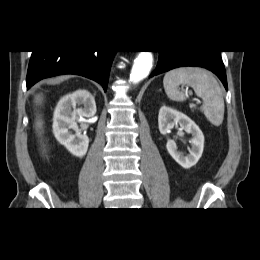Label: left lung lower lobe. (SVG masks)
Returning <instances> with one entry per match:
<instances>
[{
    "label": "left lung lower lobe",
    "instance_id": "obj_1",
    "mask_svg": "<svg viewBox=\"0 0 260 260\" xmlns=\"http://www.w3.org/2000/svg\"><path fill=\"white\" fill-rule=\"evenodd\" d=\"M184 66L203 67L212 71L222 81L225 89H228L226 72L219 50L159 51L157 67L150 77Z\"/></svg>",
    "mask_w": 260,
    "mask_h": 260
}]
</instances>
